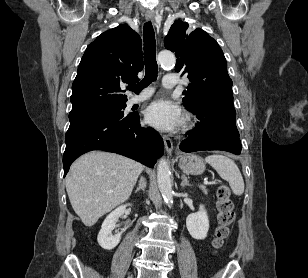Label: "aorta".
Segmentation results:
<instances>
[{"mask_svg": "<svg viewBox=\"0 0 308 278\" xmlns=\"http://www.w3.org/2000/svg\"><path fill=\"white\" fill-rule=\"evenodd\" d=\"M158 62L162 66H171L175 64L176 59L172 52L161 51L158 54ZM170 174L168 161L165 158H161L157 167V182L162 197L169 206L173 204V191Z\"/></svg>", "mask_w": 308, "mask_h": 278, "instance_id": "obj_1", "label": "aorta"}]
</instances>
